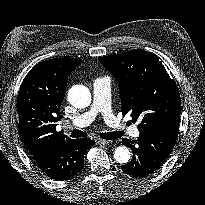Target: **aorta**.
<instances>
[{
  "instance_id": "obj_1",
  "label": "aorta",
  "mask_w": 205,
  "mask_h": 205,
  "mask_svg": "<svg viewBox=\"0 0 205 205\" xmlns=\"http://www.w3.org/2000/svg\"><path fill=\"white\" fill-rule=\"evenodd\" d=\"M68 101L75 108H86L91 103V93L87 87L75 85L68 92ZM114 159L120 164H126L131 159V153L125 146L117 147L114 151Z\"/></svg>"
}]
</instances>
